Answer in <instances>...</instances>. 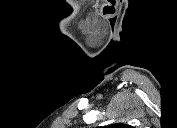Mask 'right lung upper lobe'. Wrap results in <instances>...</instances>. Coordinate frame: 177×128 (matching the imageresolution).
Wrapping results in <instances>:
<instances>
[{
	"label": "right lung upper lobe",
	"mask_w": 177,
	"mask_h": 128,
	"mask_svg": "<svg viewBox=\"0 0 177 128\" xmlns=\"http://www.w3.org/2000/svg\"><path fill=\"white\" fill-rule=\"evenodd\" d=\"M115 127L117 128H128V125H124V124H116Z\"/></svg>",
	"instance_id": "1"
}]
</instances>
